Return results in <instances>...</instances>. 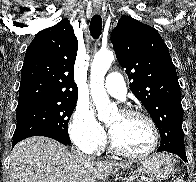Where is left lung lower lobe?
I'll return each mask as SVG.
<instances>
[{
    "instance_id": "left-lung-lower-lobe-1",
    "label": "left lung lower lobe",
    "mask_w": 196,
    "mask_h": 182,
    "mask_svg": "<svg viewBox=\"0 0 196 182\" xmlns=\"http://www.w3.org/2000/svg\"><path fill=\"white\" fill-rule=\"evenodd\" d=\"M157 151H159V152L160 151H167V152L176 154V155L180 156L183 161L187 162V157H186L185 149H169V150H161V149H158Z\"/></svg>"
}]
</instances>
